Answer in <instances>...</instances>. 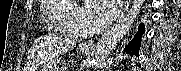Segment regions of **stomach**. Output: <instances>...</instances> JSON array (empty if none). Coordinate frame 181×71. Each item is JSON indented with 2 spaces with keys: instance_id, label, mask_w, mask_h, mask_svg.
I'll return each instance as SVG.
<instances>
[{
  "instance_id": "stomach-1",
  "label": "stomach",
  "mask_w": 181,
  "mask_h": 71,
  "mask_svg": "<svg viewBox=\"0 0 181 71\" xmlns=\"http://www.w3.org/2000/svg\"><path fill=\"white\" fill-rule=\"evenodd\" d=\"M90 52L89 49L86 48H82V53L84 54H88ZM66 68L60 64H50V65H45L43 67H41L40 71H66Z\"/></svg>"
}]
</instances>
